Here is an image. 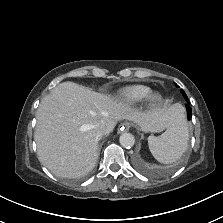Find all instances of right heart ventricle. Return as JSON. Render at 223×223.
I'll use <instances>...</instances> for the list:
<instances>
[{
  "label": "right heart ventricle",
  "instance_id": "e07e8e85",
  "mask_svg": "<svg viewBox=\"0 0 223 223\" xmlns=\"http://www.w3.org/2000/svg\"><path fill=\"white\" fill-rule=\"evenodd\" d=\"M151 93V88L145 85H130L121 89L119 99L126 104H138L144 101Z\"/></svg>",
  "mask_w": 223,
  "mask_h": 223
}]
</instances>
